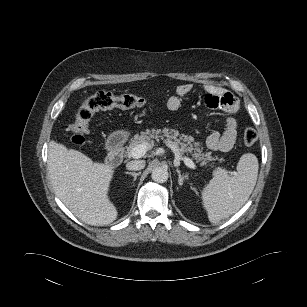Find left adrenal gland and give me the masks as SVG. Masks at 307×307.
Instances as JSON below:
<instances>
[{
  "instance_id": "left-adrenal-gland-1",
  "label": "left adrenal gland",
  "mask_w": 307,
  "mask_h": 307,
  "mask_svg": "<svg viewBox=\"0 0 307 307\" xmlns=\"http://www.w3.org/2000/svg\"><path fill=\"white\" fill-rule=\"evenodd\" d=\"M177 173H178V183L179 186H182L184 181L188 180V175H181L180 170L176 169Z\"/></svg>"
}]
</instances>
